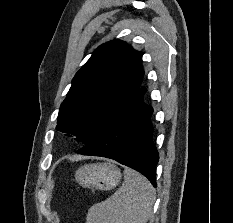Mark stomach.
Wrapping results in <instances>:
<instances>
[{
  "label": "stomach",
  "mask_w": 233,
  "mask_h": 223,
  "mask_svg": "<svg viewBox=\"0 0 233 223\" xmlns=\"http://www.w3.org/2000/svg\"><path fill=\"white\" fill-rule=\"evenodd\" d=\"M121 177L122 173L113 161L81 165L75 171V181L90 189H113Z\"/></svg>",
  "instance_id": "1"
}]
</instances>
